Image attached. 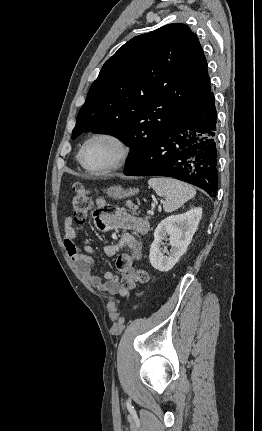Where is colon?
<instances>
[{
	"instance_id": "5ec220e1",
	"label": "colon",
	"mask_w": 262,
	"mask_h": 431,
	"mask_svg": "<svg viewBox=\"0 0 262 431\" xmlns=\"http://www.w3.org/2000/svg\"><path fill=\"white\" fill-rule=\"evenodd\" d=\"M92 200L88 191L81 184H75L71 197V217L76 225H82L91 209ZM113 205H106L101 211L106 215L115 212ZM149 282V273L144 269H138L132 276H125L121 280V287L124 292L135 290L137 285L147 284ZM141 295V292H137ZM135 307V306H134Z\"/></svg>"
}]
</instances>
